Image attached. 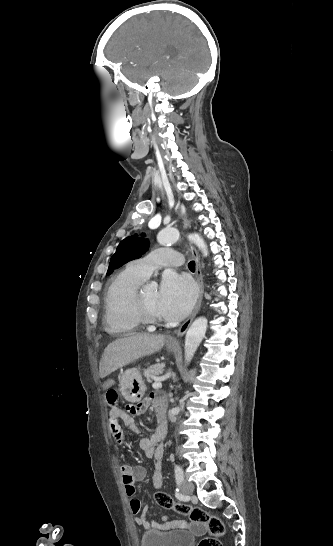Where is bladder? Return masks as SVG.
I'll use <instances>...</instances> for the list:
<instances>
[{
	"label": "bladder",
	"instance_id": "31cf9c89",
	"mask_svg": "<svg viewBox=\"0 0 333 546\" xmlns=\"http://www.w3.org/2000/svg\"><path fill=\"white\" fill-rule=\"evenodd\" d=\"M193 535L185 530L161 532L146 531L141 538V546H191Z\"/></svg>",
	"mask_w": 333,
	"mask_h": 546
}]
</instances>
